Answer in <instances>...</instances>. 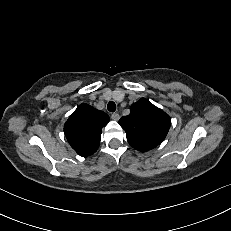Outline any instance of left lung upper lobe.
<instances>
[{"mask_svg":"<svg viewBox=\"0 0 231 231\" xmlns=\"http://www.w3.org/2000/svg\"><path fill=\"white\" fill-rule=\"evenodd\" d=\"M119 124L126 131L129 144L136 150L146 152L159 145L170 128V117L149 100L141 98L123 116Z\"/></svg>","mask_w":231,"mask_h":231,"instance_id":"obj_1","label":"left lung upper lobe"}]
</instances>
